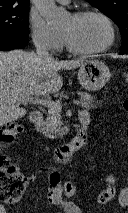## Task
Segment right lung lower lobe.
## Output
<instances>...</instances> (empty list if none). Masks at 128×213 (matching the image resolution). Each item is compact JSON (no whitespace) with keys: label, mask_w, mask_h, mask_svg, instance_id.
<instances>
[{"label":"right lung lower lobe","mask_w":128,"mask_h":213,"mask_svg":"<svg viewBox=\"0 0 128 213\" xmlns=\"http://www.w3.org/2000/svg\"><path fill=\"white\" fill-rule=\"evenodd\" d=\"M28 44V41L20 39H0V51H8L12 49H21Z\"/></svg>","instance_id":"obj_1"}]
</instances>
